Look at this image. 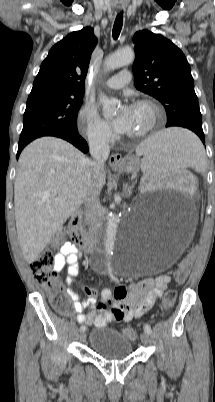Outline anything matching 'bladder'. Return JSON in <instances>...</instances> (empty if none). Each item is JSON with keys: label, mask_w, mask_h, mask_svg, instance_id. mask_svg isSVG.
<instances>
[{"label": "bladder", "mask_w": 215, "mask_h": 402, "mask_svg": "<svg viewBox=\"0 0 215 402\" xmlns=\"http://www.w3.org/2000/svg\"><path fill=\"white\" fill-rule=\"evenodd\" d=\"M89 347L105 360L125 359L133 352L132 342L118 330L108 327H99L90 333Z\"/></svg>", "instance_id": "obj_1"}]
</instances>
